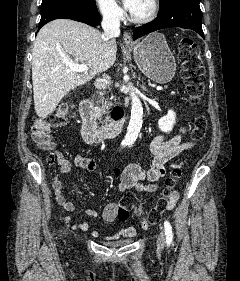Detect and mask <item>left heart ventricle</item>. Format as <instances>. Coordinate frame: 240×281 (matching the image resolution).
Returning <instances> with one entry per match:
<instances>
[{"label": "left heart ventricle", "instance_id": "b2bd125f", "mask_svg": "<svg viewBox=\"0 0 240 281\" xmlns=\"http://www.w3.org/2000/svg\"><path fill=\"white\" fill-rule=\"evenodd\" d=\"M149 10L148 0H141L140 4L136 8V10L132 13L136 16L145 15Z\"/></svg>", "mask_w": 240, "mask_h": 281}]
</instances>
